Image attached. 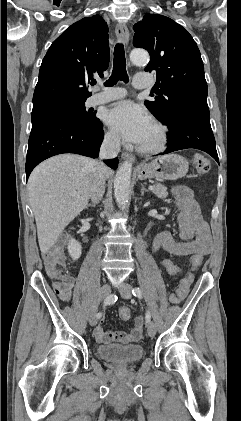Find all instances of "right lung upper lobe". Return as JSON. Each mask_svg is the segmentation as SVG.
Returning <instances> with one entry per match:
<instances>
[{"label": "right lung upper lobe", "mask_w": 241, "mask_h": 421, "mask_svg": "<svg viewBox=\"0 0 241 421\" xmlns=\"http://www.w3.org/2000/svg\"><path fill=\"white\" fill-rule=\"evenodd\" d=\"M107 24L99 15L72 24L50 46L39 71L33 106L59 100H86V85L108 68Z\"/></svg>", "instance_id": "cb5924a9"}]
</instances>
